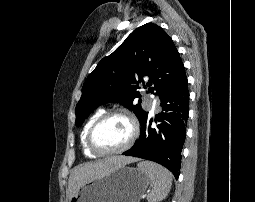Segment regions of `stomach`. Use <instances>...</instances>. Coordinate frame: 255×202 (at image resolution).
<instances>
[{
	"label": "stomach",
	"mask_w": 255,
	"mask_h": 202,
	"mask_svg": "<svg viewBox=\"0 0 255 202\" xmlns=\"http://www.w3.org/2000/svg\"><path fill=\"white\" fill-rule=\"evenodd\" d=\"M149 184L144 172L124 165L83 184L69 202H139Z\"/></svg>",
	"instance_id": "1"
}]
</instances>
